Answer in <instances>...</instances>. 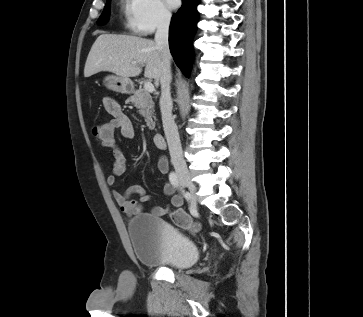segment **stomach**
Masks as SVG:
<instances>
[{"label": "stomach", "mask_w": 363, "mask_h": 317, "mask_svg": "<svg viewBox=\"0 0 363 317\" xmlns=\"http://www.w3.org/2000/svg\"><path fill=\"white\" fill-rule=\"evenodd\" d=\"M104 85L115 92L131 93L133 84L129 79L122 78L116 75H108L104 78Z\"/></svg>", "instance_id": "1"}]
</instances>
